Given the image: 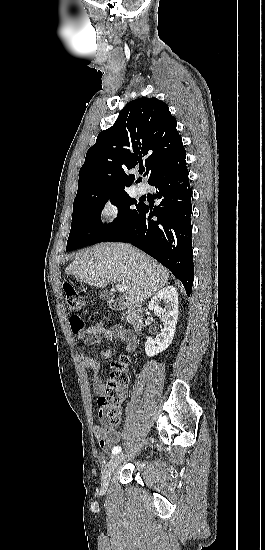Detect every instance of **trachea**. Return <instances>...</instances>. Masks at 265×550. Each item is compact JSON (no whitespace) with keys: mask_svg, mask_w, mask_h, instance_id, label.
<instances>
[{"mask_svg":"<svg viewBox=\"0 0 265 550\" xmlns=\"http://www.w3.org/2000/svg\"><path fill=\"white\" fill-rule=\"evenodd\" d=\"M143 171H144V169H140V170H139V172H140L141 174L143 173Z\"/></svg>","mask_w":265,"mask_h":550,"instance_id":"3493384b","label":"trachea"}]
</instances>
